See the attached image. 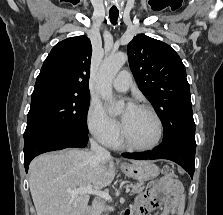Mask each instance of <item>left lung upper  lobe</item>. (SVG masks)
<instances>
[{
  "label": "left lung upper lobe",
  "instance_id": "obj_1",
  "mask_svg": "<svg viewBox=\"0 0 223 215\" xmlns=\"http://www.w3.org/2000/svg\"><path fill=\"white\" fill-rule=\"evenodd\" d=\"M127 53L140 90L162 122L163 140L195 137L189 84L178 54L168 44L144 34L133 38Z\"/></svg>",
  "mask_w": 223,
  "mask_h": 215
}]
</instances>
